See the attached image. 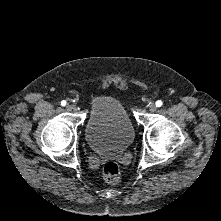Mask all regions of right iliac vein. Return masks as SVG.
I'll return each mask as SVG.
<instances>
[{
  "instance_id": "1",
  "label": "right iliac vein",
  "mask_w": 221,
  "mask_h": 221,
  "mask_svg": "<svg viewBox=\"0 0 221 221\" xmlns=\"http://www.w3.org/2000/svg\"><path fill=\"white\" fill-rule=\"evenodd\" d=\"M66 109H67L68 111H71V110L73 109V106H72L71 104H68V105L66 106Z\"/></svg>"
}]
</instances>
